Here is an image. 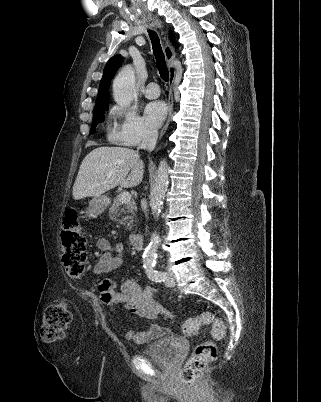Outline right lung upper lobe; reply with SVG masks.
I'll return each mask as SVG.
<instances>
[{"label":"right lung upper lobe","mask_w":321,"mask_h":402,"mask_svg":"<svg viewBox=\"0 0 321 402\" xmlns=\"http://www.w3.org/2000/svg\"><path fill=\"white\" fill-rule=\"evenodd\" d=\"M121 62H122L121 55H115L112 58H110L109 61L107 62L103 71V77L100 82L95 108L109 105L108 88L110 87L111 80L114 74L117 72Z\"/></svg>","instance_id":"obj_1"}]
</instances>
